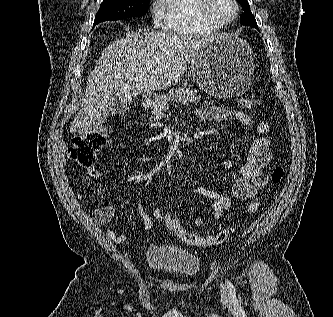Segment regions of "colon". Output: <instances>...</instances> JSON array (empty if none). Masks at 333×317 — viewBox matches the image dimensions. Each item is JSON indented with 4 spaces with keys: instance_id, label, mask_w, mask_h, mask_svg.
Listing matches in <instances>:
<instances>
[{
    "instance_id": "obj_1",
    "label": "colon",
    "mask_w": 333,
    "mask_h": 317,
    "mask_svg": "<svg viewBox=\"0 0 333 317\" xmlns=\"http://www.w3.org/2000/svg\"><path fill=\"white\" fill-rule=\"evenodd\" d=\"M241 107L247 110L253 108V102L249 98L239 99ZM106 144V135L104 131L95 130L73 138L68 155L71 159L85 168L93 167L97 161V155ZM284 168L275 167L270 174V181L273 184H278L284 177ZM261 206L260 200L251 202L247 207V214L255 213ZM162 221L167 228L174 232L177 237L189 245L195 246H212L226 242L234 233V228L229 227L220 232L209 235L200 236L185 230L180 220L171 212H162Z\"/></svg>"
}]
</instances>
